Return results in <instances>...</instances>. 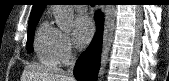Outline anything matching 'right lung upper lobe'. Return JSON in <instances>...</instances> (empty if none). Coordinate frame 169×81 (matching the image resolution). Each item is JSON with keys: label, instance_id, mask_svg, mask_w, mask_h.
Here are the masks:
<instances>
[{"label": "right lung upper lobe", "instance_id": "right-lung-upper-lobe-1", "mask_svg": "<svg viewBox=\"0 0 169 81\" xmlns=\"http://www.w3.org/2000/svg\"><path fill=\"white\" fill-rule=\"evenodd\" d=\"M34 2L35 3L33 5L32 11H31L29 23L36 21V20H39L41 14H42V12H43L46 4H47L46 0H34Z\"/></svg>", "mask_w": 169, "mask_h": 81}]
</instances>
